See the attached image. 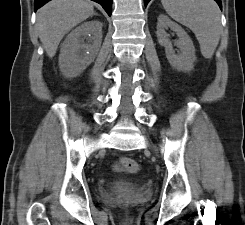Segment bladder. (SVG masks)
Masks as SVG:
<instances>
[{"mask_svg": "<svg viewBox=\"0 0 245 225\" xmlns=\"http://www.w3.org/2000/svg\"><path fill=\"white\" fill-rule=\"evenodd\" d=\"M118 188L124 193H131L134 190V184L129 182L119 183Z\"/></svg>", "mask_w": 245, "mask_h": 225, "instance_id": "1", "label": "bladder"}]
</instances>
